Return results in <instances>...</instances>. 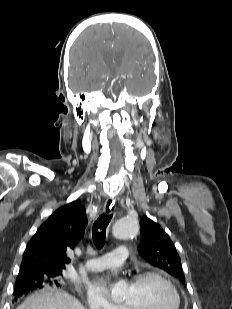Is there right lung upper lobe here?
I'll return each instance as SVG.
<instances>
[{
	"label": "right lung upper lobe",
	"mask_w": 232,
	"mask_h": 309,
	"mask_svg": "<svg viewBox=\"0 0 232 309\" xmlns=\"http://www.w3.org/2000/svg\"><path fill=\"white\" fill-rule=\"evenodd\" d=\"M86 225L85 208L78 201L60 207L28 242L20 270H63L70 262L66 252L83 237Z\"/></svg>",
	"instance_id": "right-lung-upper-lobe-1"
}]
</instances>
